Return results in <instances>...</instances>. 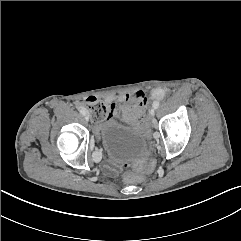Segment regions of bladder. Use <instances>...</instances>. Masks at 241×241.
<instances>
[{
  "label": "bladder",
  "instance_id": "obj_1",
  "mask_svg": "<svg viewBox=\"0 0 241 241\" xmlns=\"http://www.w3.org/2000/svg\"><path fill=\"white\" fill-rule=\"evenodd\" d=\"M102 132L107 154L112 160H134L148 148L147 139L140 130L129 128L114 119L104 123Z\"/></svg>",
  "mask_w": 241,
  "mask_h": 241
}]
</instances>
